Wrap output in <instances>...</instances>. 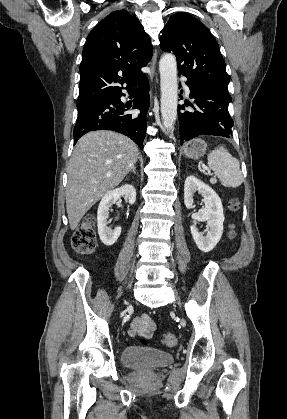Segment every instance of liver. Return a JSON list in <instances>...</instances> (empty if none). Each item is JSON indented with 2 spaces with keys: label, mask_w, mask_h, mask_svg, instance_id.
Listing matches in <instances>:
<instances>
[{
  "label": "liver",
  "mask_w": 287,
  "mask_h": 419,
  "mask_svg": "<svg viewBox=\"0 0 287 419\" xmlns=\"http://www.w3.org/2000/svg\"><path fill=\"white\" fill-rule=\"evenodd\" d=\"M138 154L130 138L109 130L89 132L78 140L67 168L66 209L71 230L96 202L120 184Z\"/></svg>",
  "instance_id": "obj_1"
}]
</instances>
